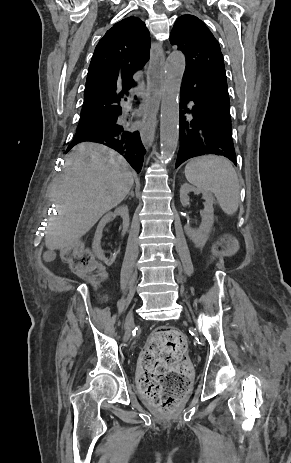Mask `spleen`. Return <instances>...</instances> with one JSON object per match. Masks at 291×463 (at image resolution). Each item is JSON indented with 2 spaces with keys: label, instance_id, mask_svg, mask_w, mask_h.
Masks as SVG:
<instances>
[{
  "label": "spleen",
  "instance_id": "1",
  "mask_svg": "<svg viewBox=\"0 0 291 463\" xmlns=\"http://www.w3.org/2000/svg\"><path fill=\"white\" fill-rule=\"evenodd\" d=\"M185 177L199 189L212 192L225 214L231 216L238 210L239 180L226 158L214 155L194 158L185 166Z\"/></svg>",
  "mask_w": 291,
  "mask_h": 463
}]
</instances>
